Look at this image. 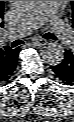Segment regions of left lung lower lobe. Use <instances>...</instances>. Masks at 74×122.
Listing matches in <instances>:
<instances>
[{"label":"left lung lower lobe","mask_w":74,"mask_h":122,"mask_svg":"<svg viewBox=\"0 0 74 122\" xmlns=\"http://www.w3.org/2000/svg\"><path fill=\"white\" fill-rule=\"evenodd\" d=\"M64 54L63 61L51 68L62 83L74 85V49L66 50Z\"/></svg>","instance_id":"0a47b994"}]
</instances>
